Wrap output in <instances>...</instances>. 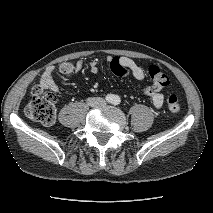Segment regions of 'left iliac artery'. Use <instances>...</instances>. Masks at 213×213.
<instances>
[{"instance_id":"obj_1","label":"left iliac artery","mask_w":213,"mask_h":213,"mask_svg":"<svg viewBox=\"0 0 213 213\" xmlns=\"http://www.w3.org/2000/svg\"><path fill=\"white\" fill-rule=\"evenodd\" d=\"M114 105H118L120 103V98L118 96L114 97L113 102Z\"/></svg>"}]
</instances>
